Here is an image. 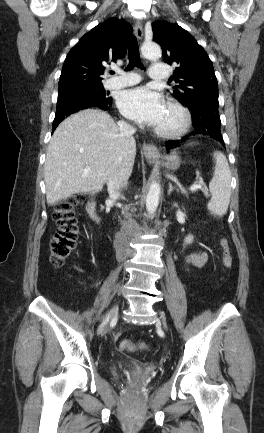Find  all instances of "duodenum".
<instances>
[{
    "mask_svg": "<svg viewBox=\"0 0 264 433\" xmlns=\"http://www.w3.org/2000/svg\"><path fill=\"white\" fill-rule=\"evenodd\" d=\"M87 211L89 213V215L91 216V218L96 222V223H101L102 222V217L98 211V206H97V200L96 198H92L88 201L87 203Z\"/></svg>",
    "mask_w": 264,
    "mask_h": 433,
    "instance_id": "1",
    "label": "duodenum"
}]
</instances>
